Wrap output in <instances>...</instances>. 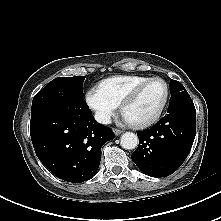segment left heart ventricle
<instances>
[{
  "label": "left heart ventricle",
  "instance_id": "1",
  "mask_svg": "<svg viewBox=\"0 0 221 221\" xmlns=\"http://www.w3.org/2000/svg\"><path fill=\"white\" fill-rule=\"evenodd\" d=\"M165 97V87L160 82H153L146 86L139 97L126 110L133 121H141L153 116Z\"/></svg>",
  "mask_w": 221,
  "mask_h": 221
}]
</instances>
